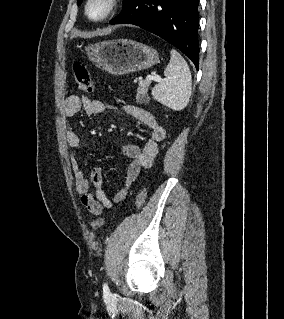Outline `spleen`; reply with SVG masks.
<instances>
[{
    "label": "spleen",
    "instance_id": "1",
    "mask_svg": "<svg viewBox=\"0 0 284 319\" xmlns=\"http://www.w3.org/2000/svg\"><path fill=\"white\" fill-rule=\"evenodd\" d=\"M165 78L152 89L153 98L159 103L179 111L184 109L191 95V73L184 58L174 49L170 51Z\"/></svg>",
    "mask_w": 284,
    "mask_h": 319
}]
</instances>
